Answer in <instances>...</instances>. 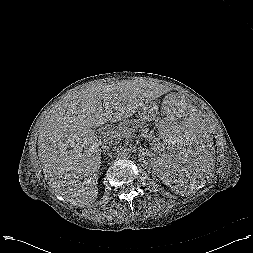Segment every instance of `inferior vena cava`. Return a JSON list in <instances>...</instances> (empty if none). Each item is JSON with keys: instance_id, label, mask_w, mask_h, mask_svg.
I'll return each instance as SVG.
<instances>
[{"instance_id": "602c4592", "label": "inferior vena cava", "mask_w": 253, "mask_h": 253, "mask_svg": "<svg viewBox=\"0 0 253 253\" xmlns=\"http://www.w3.org/2000/svg\"><path fill=\"white\" fill-rule=\"evenodd\" d=\"M104 150L107 151L109 154H113V151H116L117 150V147L114 146V143H112L111 141V145H110V142H109V145H104Z\"/></svg>"}]
</instances>
